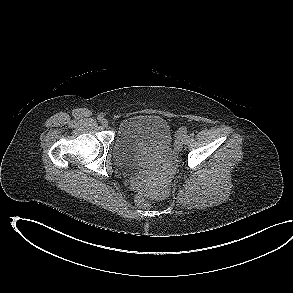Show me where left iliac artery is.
<instances>
[{
    "label": "left iliac artery",
    "instance_id": "1",
    "mask_svg": "<svg viewBox=\"0 0 293 293\" xmlns=\"http://www.w3.org/2000/svg\"><path fill=\"white\" fill-rule=\"evenodd\" d=\"M190 137L193 138V137H194V133H191V134H190Z\"/></svg>",
    "mask_w": 293,
    "mask_h": 293
}]
</instances>
